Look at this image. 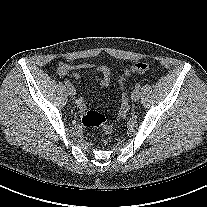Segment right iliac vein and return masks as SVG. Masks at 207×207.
<instances>
[{
	"label": "right iliac vein",
	"mask_w": 207,
	"mask_h": 207,
	"mask_svg": "<svg viewBox=\"0 0 207 207\" xmlns=\"http://www.w3.org/2000/svg\"><path fill=\"white\" fill-rule=\"evenodd\" d=\"M67 90H68V93H69L70 96H74L75 93H76V90H75V88H74L72 85H70V86L67 88Z\"/></svg>",
	"instance_id": "obj_1"
}]
</instances>
